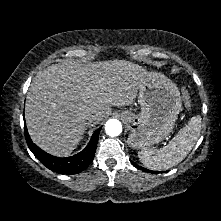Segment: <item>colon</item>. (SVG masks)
Wrapping results in <instances>:
<instances>
[{
    "label": "colon",
    "instance_id": "5ec220e1",
    "mask_svg": "<svg viewBox=\"0 0 221 221\" xmlns=\"http://www.w3.org/2000/svg\"><path fill=\"white\" fill-rule=\"evenodd\" d=\"M182 94H183V99H184L186 107L191 109L192 103H191L190 96H189L188 92L186 91V89L182 90Z\"/></svg>",
    "mask_w": 221,
    "mask_h": 221
}]
</instances>
